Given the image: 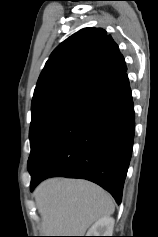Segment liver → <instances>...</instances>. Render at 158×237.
Segmentation results:
<instances>
[{
    "mask_svg": "<svg viewBox=\"0 0 158 237\" xmlns=\"http://www.w3.org/2000/svg\"><path fill=\"white\" fill-rule=\"evenodd\" d=\"M34 196L44 236H84L115 210L110 194L86 180L51 178L37 186Z\"/></svg>",
    "mask_w": 158,
    "mask_h": 237,
    "instance_id": "obj_1",
    "label": "liver"
}]
</instances>
